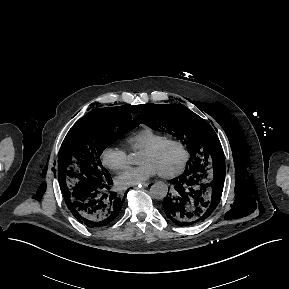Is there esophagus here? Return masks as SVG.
Returning <instances> with one entry per match:
<instances>
[{
    "mask_svg": "<svg viewBox=\"0 0 289 289\" xmlns=\"http://www.w3.org/2000/svg\"><path fill=\"white\" fill-rule=\"evenodd\" d=\"M149 184H150V183H148V182L142 183V184H141V187H148Z\"/></svg>",
    "mask_w": 289,
    "mask_h": 289,
    "instance_id": "obj_1",
    "label": "esophagus"
}]
</instances>
